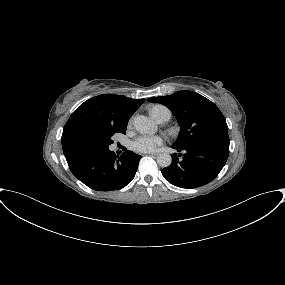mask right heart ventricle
Wrapping results in <instances>:
<instances>
[{"instance_id": "obj_1", "label": "right heart ventricle", "mask_w": 285, "mask_h": 285, "mask_svg": "<svg viewBox=\"0 0 285 285\" xmlns=\"http://www.w3.org/2000/svg\"><path fill=\"white\" fill-rule=\"evenodd\" d=\"M150 114L158 121L162 117H171L170 110L163 105H155L150 108Z\"/></svg>"}]
</instances>
